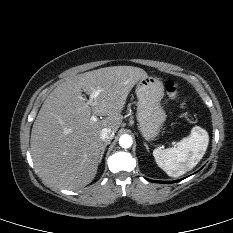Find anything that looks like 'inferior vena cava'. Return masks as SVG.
I'll list each match as a JSON object with an SVG mask.
<instances>
[{
  "instance_id": "inferior-vena-cava-1",
  "label": "inferior vena cava",
  "mask_w": 233,
  "mask_h": 233,
  "mask_svg": "<svg viewBox=\"0 0 233 233\" xmlns=\"http://www.w3.org/2000/svg\"><path fill=\"white\" fill-rule=\"evenodd\" d=\"M100 137L103 142H110L114 137V132L110 128H103Z\"/></svg>"
}]
</instances>
